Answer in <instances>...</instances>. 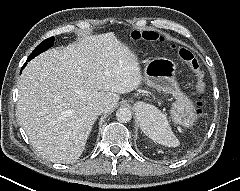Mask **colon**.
<instances>
[{
	"mask_svg": "<svg viewBox=\"0 0 240 191\" xmlns=\"http://www.w3.org/2000/svg\"><path fill=\"white\" fill-rule=\"evenodd\" d=\"M131 37L134 40H145L147 42H157L162 41V36H160L158 33L153 31H145V32H134ZM179 57L180 59L190 66L191 69L195 71L198 77V90H199V96L194 101L192 108H191V114L193 118L198 121L203 115V106L204 102L202 100L201 94L205 91V75L202 70V66L200 61L194 56V54L186 49L182 48L179 50Z\"/></svg>",
	"mask_w": 240,
	"mask_h": 191,
	"instance_id": "colon-1",
	"label": "colon"
}]
</instances>
